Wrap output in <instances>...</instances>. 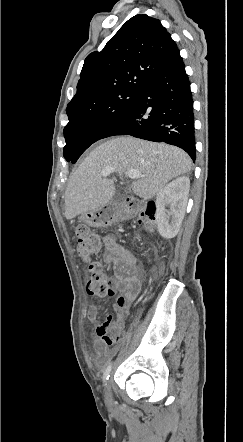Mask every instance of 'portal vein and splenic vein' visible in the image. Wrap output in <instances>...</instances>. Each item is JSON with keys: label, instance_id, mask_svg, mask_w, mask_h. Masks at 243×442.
Here are the masks:
<instances>
[{"label": "portal vein and splenic vein", "instance_id": "18ae733b", "mask_svg": "<svg viewBox=\"0 0 243 442\" xmlns=\"http://www.w3.org/2000/svg\"><path fill=\"white\" fill-rule=\"evenodd\" d=\"M113 172H115V169L113 167H106L102 170L101 174L103 177H107ZM126 176L131 179H138L141 176V174L137 170H129L126 172Z\"/></svg>", "mask_w": 243, "mask_h": 442}]
</instances>
